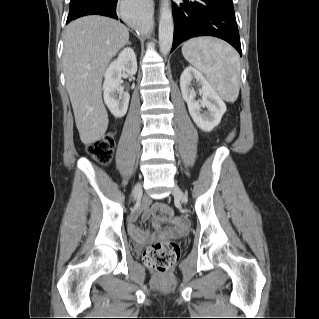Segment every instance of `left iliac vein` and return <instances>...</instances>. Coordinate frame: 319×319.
I'll return each instance as SVG.
<instances>
[{
  "label": "left iliac vein",
  "mask_w": 319,
  "mask_h": 319,
  "mask_svg": "<svg viewBox=\"0 0 319 319\" xmlns=\"http://www.w3.org/2000/svg\"><path fill=\"white\" fill-rule=\"evenodd\" d=\"M173 195L176 199L180 200L181 202H183V203L187 202V198H186L185 194L177 185H175L173 188Z\"/></svg>",
  "instance_id": "4c4485c4"
}]
</instances>
